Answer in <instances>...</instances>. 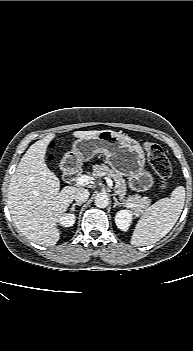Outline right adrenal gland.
I'll return each instance as SVG.
<instances>
[{
	"label": "right adrenal gland",
	"instance_id": "2a0ac1e0",
	"mask_svg": "<svg viewBox=\"0 0 193 351\" xmlns=\"http://www.w3.org/2000/svg\"><path fill=\"white\" fill-rule=\"evenodd\" d=\"M81 206L82 205V203H74L73 205H72V207H71V211L72 212H74L75 211V206Z\"/></svg>",
	"mask_w": 193,
	"mask_h": 351
}]
</instances>
